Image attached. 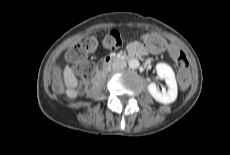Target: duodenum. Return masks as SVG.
<instances>
[{
	"label": "duodenum",
	"mask_w": 230,
	"mask_h": 155,
	"mask_svg": "<svg viewBox=\"0 0 230 155\" xmlns=\"http://www.w3.org/2000/svg\"><path fill=\"white\" fill-rule=\"evenodd\" d=\"M136 53L132 51H128L127 54L125 55H120V56H107L105 57L102 62L99 65L98 69V75L97 78H100L101 75L106 71V69L113 63L119 62V61H126L129 60L130 58L134 57Z\"/></svg>",
	"instance_id": "1"
}]
</instances>
